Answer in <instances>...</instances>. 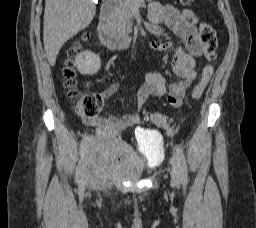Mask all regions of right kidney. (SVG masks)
Returning a JSON list of instances; mask_svg holds the SVG:
<instances>
[{
    "instance_id": "right-kidney-1",
    "label": "right kidney",
    "mask_w": 256,
    "mask_h": 228,
    "mask_svg": "<svg viewBox=\"0 0 256 228\" xmlns=\"http://www.w3.org/2000/svg\"><path fill=\"white\" fill-rule=\"evenodd\" d=\"M75 66L82 75H94L100 69L101 60L97 54L84 51L76 56Z\"/></svg>"
}]
</instances>
